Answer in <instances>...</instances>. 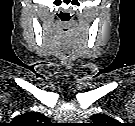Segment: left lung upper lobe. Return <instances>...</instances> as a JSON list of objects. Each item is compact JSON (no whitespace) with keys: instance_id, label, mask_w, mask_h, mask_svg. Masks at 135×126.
I'll list each match as a JSON object with an SVG mask.
<instances>
[{"instance_id":"1","label":"left lung upper lobe","mask_w":135,"mask_h":126,"mask_svg":"<svg viewBox=\"0 0 135 126\" xmlns=\"http://www.w3.org/2000/svg\"><path fill=\"white\" fill-rule=\"evenodd\" d=\"M92 121H96V122H104L106 119V116L103 114H97V115H93L90 118ZM101 124V123H98Z\"/></svg>"}]
</instances>
